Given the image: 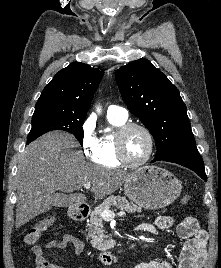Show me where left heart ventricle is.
<instances>
[{"instance_id":"left-heart-ventricle-1","label":"left heart ventricle","mask_w":221,"mask_h":268,"mask_svg":"<svg viewBox=\"0 0 221 268\" xmlns=\"http://www.w3.org/2000/svg\"><path fill=\"white\" fill-rule=\"evenodd\" d=\"M149 147L146 134L140 129H131L125 136L124 149L127 158L132 162L142 160Z\"/></svg>"}]
</instances>
